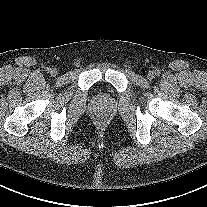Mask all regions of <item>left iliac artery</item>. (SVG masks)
Here are the masks:
<instances>
[{
  "label": "left iliac artery",
  "instance_id": "44dca946",
  "mask_svg": "<svg viewBox=\"0 0 207 207\" xmlns=\"http://www.w3.org/2000/svg\"><path fill=\"white\" fill-rule=\"evenodd\" d=\"M155 74H156V75H160V71H159V70H156V71H155Z\"/></svg>",
  "mask_w": 207,
  "mask_h": 207
}]
</instances>
